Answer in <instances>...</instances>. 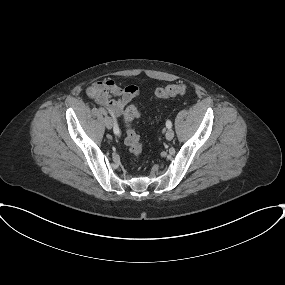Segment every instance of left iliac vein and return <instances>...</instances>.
<instances>
[{
  "mask_svg": "<svg viewBox=\"0 0 285 285\" xmlns=\"http://www.w3.org/2000/svg\"><path fill=\"white\" fill-rule=\"evenodd\" d=\"M173 137H174V131L170 128V129H168L167 132H166V139H167L168 141H170V140L173 139Z\"/></svg>",
  "mask_w": 285,
  "mask_h": 285,
  "instance_id": "1",
  "label": "left iliac vein"
}]
</instances>
